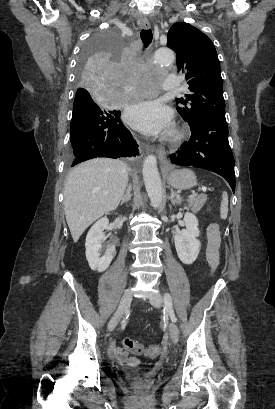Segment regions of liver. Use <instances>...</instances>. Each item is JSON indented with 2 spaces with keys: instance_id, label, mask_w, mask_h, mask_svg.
<instances>
[{
  "instance_id": "obj_1",
  "label": "liver",
  "mask_w": 275,
  "mask_h": 409,
  "mask_svg": "<svg viewBox=\"0 0 275 409\" xmlns=\"http://www.w3.org/2000/svg\"><path fill=\"white\" fill-rule=\"evenodd\" d=\"M128 182V166L118 158H92L69 172L64 211L74 243L94 221L117 209Z\"/></svg>"
}]
</instances>
